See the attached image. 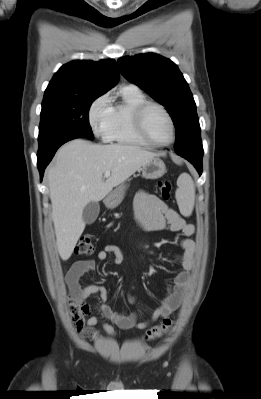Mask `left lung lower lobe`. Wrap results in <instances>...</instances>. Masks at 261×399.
<instances>
[{"instance_id": "1", "label": "left lung lower lobe", "mask_w": 261, "mask_h": 399, "mask_svg": "<svg viewBox=\"0 0 261 399\" xmlns=\"http://www.w3.org/2000/svg\"><path fill=\"white\" fill-rule=\"evenodd\" d=\"M181 157L187 159L190 163L194 165V167L197 169L199 175L202 174V158L203 154H183L180 153L178 154Z\"/></svg>"}]
</instances>
